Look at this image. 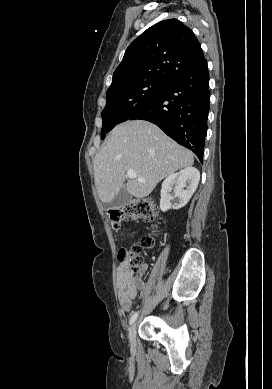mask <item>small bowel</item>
I'll list each match as a JSON object with an SVG mask.
<instances>
[{
	"label": "small bowel",
	"mask_w": 272,
	"mask_h": 389,
	"mask_svg": "<svg viewBox=\"0 0 272 389\" xmlns=\"http://www.w3.org/2000/svg\"><path fill=\"white\" fill-rule=\"evenodd\" d=\"M146 271V265L140 267L136 273L127 269L125 263H121L118 267V294L119 301L122 309L125 312L130 311L133 302L135 301L138 293L145 287L141 276Z\"/></svg>",
	"instance_id": "c3829d8e"
}]
</instances>
